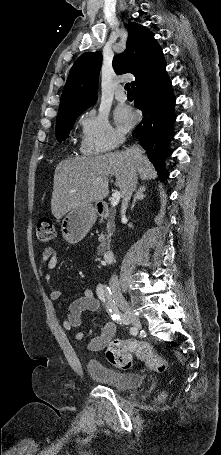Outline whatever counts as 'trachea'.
Here are the masks:
<instances>
[{
  "mask_svg": "<svg viewBox=\"0 0 221 455\" xmlns=\"http://www.w3.org/2000/svg\"><path fill=\"white\" fill-rule=\"evenodd\" d=\"M124 88H125V90L127 91V93H132V90H131V88H130V84H129V83L125 84V87H124Z\"/></svg>",
  "mask_w": 221,
  "mask_h": 455,
  "instance_id": "trachea-1",
  "label": "trachea"
}]
</instances>
